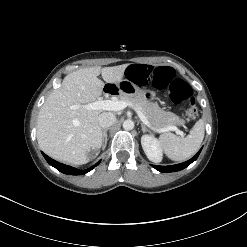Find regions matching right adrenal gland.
Wrapping results in <instances>:
<instances>
[{"label":"right adrenal gland","mask_w":247,"mask_h":247,"mask_svg":"<svg viewBox=\"0 0 247 247\" xmlns=\"http://www.w3.org/2000/svg\"><path fill=\"white\" fill-rule=\"evenodd\" d=\"M109 130V128H106V129H104L103 130V132H102V140H103V148H105L106 147V145H107V131Z\"/></svg>","instance_id":"1"}]
</instances>
